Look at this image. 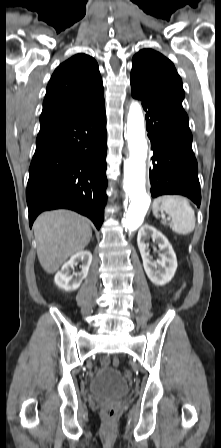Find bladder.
Returning <instances> with one entry per match:
<instances>
[{"mask_svg":"<svg viewBox=\"0 0 221 448\" xmlns=\"http://www.w3.org/2000/svg\"><path fill=\"white\" fill-rule=\"evenodd\" d=\"M88 391L90 395L102 399H119L128 392V381L117 369H100L92 378Z\"/></svg>","mask_w":221,"mask_h":448,"instance_id":"obj_1","label":"bladder"}]
</instances>
